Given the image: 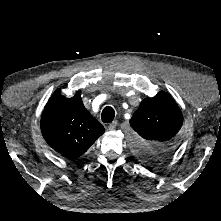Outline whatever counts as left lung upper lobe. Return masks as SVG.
<instances>
[{"mask_svg": "<svg viewBox=\"0 0 221 221\" xmlns=\"http://www.w3.org/2000/svg\"><path fill=\"white\" fill-rule=\"evenodd\" d=\"M182 122L181 110L168 93L160 91L145 98L130 119L139 159L151 165L169 159L177 147L176 134Z\"/></svg>", "mask_w": 221, "mask_h": 221, "instance_id": "left-lung-upper-lobe-1", "label": "left lung upper lobe"}]
</instances>
